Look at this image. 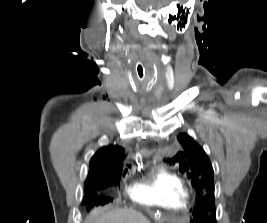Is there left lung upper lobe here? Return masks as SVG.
Instances as JSON below:
<instances>
[{
    "label": "left lung upper lobe",
    "instance_id": "1",
    "mask_svg": "<svg viewBox=\"0 0 267 223\" xmlns=\"http://www.w3.org/2000/svg\"><path fill=\"white\" fill-rule=\"evenodd\" d=\"M183 150L179 151L170 164L179 166L180 172H186L200 198L196 206H184V209H174V214H189L195 211V218L212 222L215 220L213 168L204 150L191 138L183 133L178 136ZM205 193H208L204 195Z\"/></svg>",
    "mask_w": 267,
    "mask_h": 223
}]
</instances>
